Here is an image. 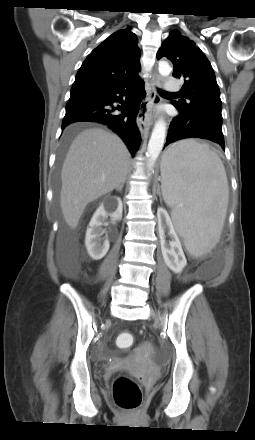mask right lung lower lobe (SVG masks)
I'll return each mask as SVG.
<instances>
[{
    "label": "right lung lower lobe",
    "instance_id": "obj_1",
    "mask_svg": "<svg viewBox=\"0 0 255 440\" xmlns=\"http://www.w3.org/2000/svg\"><path fill=\"white\" fill-rule=\"evenodd\" d=\"M145 95L144 83L139 76L105 89L71 94L62 129L82 121L106 124L122 138L134 156L141 140L136 117ZM114 103L121 105L115 107Z\"/></svg>",
    "mask_w": 255,
    "mask_h": 440
}]
</instances>
